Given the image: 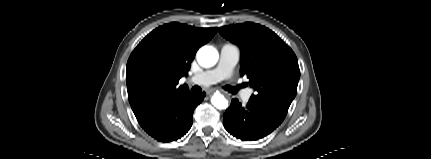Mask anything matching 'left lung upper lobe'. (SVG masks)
<instances>
[{"instance_id":"1","label":"left lung upper lobe","mask_w":431,"mask_h":159,"mask_svg":"<svg viewBox=\"0 0 431 159\" xmlns=\"http://www.w3.org/2000/svg\"><path fill=\"white\" fill-rule=\"evenodd\" d=\"M219 32L241 50V75L247 76L256 91L250 100L287 112L300 78L291 48L273 31L255 23L224 26Z\"/></svg>"}]
</instances>
